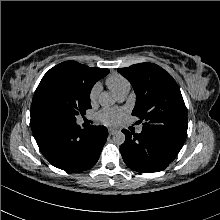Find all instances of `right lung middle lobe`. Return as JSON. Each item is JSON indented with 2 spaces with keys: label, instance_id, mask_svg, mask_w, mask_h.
<instances>
[{
  "label": "right lung middle lobe",
  "instance_id": "right-lung-middle-lobe-1",
  "mask_svg": "<svg viewBox=\"0 0 220 220\" xmlns=\"http://www.w3.org/2000/svg\"><path fill=\"white\" fill-rule=\"evenodd\" d=\"M96 74L83 65H56L37 87L31 112L38 117L75 123L78 114L91 108L90 91L97 82Z\"/></svg>",
  "mask_w": 220,
  "mask_h": 220
}]
</instances>
